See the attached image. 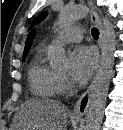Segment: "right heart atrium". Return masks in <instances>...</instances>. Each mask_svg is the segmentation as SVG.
Segmentation results:
<instances>
[{
	"mask_svg": "<svg viewBox=\"0 0 123 130\" xmlns=\"http://www.w3.org/2000/svg\"><path fill=\"white\" fill-rule=\"evenodd\" d=\"M66 79L60 76V90H64L66 88Z\"/></svg>",
	"mask_w": 123,
	"mask_h": 130,
	"instance_id": "right-heart-atrium-1",
	"label": "right heart atrium"
}]
</instances>
